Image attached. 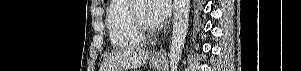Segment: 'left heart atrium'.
I'll return each instance as SVG.
<instances>
[{"instance_id": "left-heart-atrium-1", "label": "left heart atrium", "mask_w": 301, "mask_h": 71, "mask_svg": "<svg viewBox=\"0 0 301 71\" xmlns=\"http://www.w3.org/2000/svg\"><path fill=\"white\" fill-rule=\"evenodd\" d=\"M149 14L154 26L162 25L171 13L170 0H149Z\"/></svg>"}]
</instances>
